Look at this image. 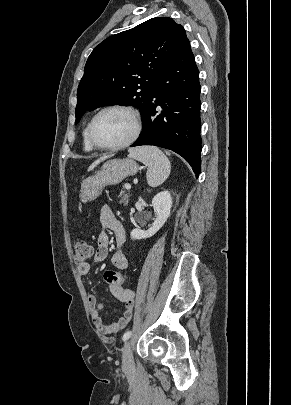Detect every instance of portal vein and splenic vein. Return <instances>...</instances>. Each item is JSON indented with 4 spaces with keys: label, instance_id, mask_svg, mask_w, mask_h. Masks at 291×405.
Returning a JSON list of instances; mask_svg holds the SVG:
<instances>
[{
    "label": "portal vein and splenic vein",
    "instance_id": "1",
    "mask_svg": "<svg viewBox=\"0 0 291 405\" xmlns=\"http://www.w3.org/2000/svg\"><path fill=\"white\" fill-rule=\"evenodd\" d=\"M125 188H126L127 190H130V189H131V185H130V184H126V185H125Z\"/></svg>",
    "mask_w": 291,
    "mask_h": 405
}]
</instances>
